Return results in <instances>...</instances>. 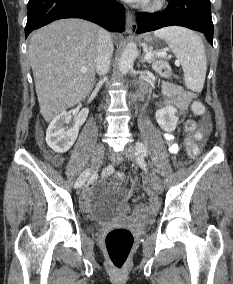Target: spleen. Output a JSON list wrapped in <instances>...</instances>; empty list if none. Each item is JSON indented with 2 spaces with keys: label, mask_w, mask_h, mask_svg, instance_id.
I'll use <instances>...</instances> for the list:
<instances>
[{
  "label": "spleen",
  "mask_w": 233,
  "mask_h": 284,
  "mask_svg": "<svg viewBox=\"0 0 233 284\" xmlns=\"http://www.w3.org/2000/svg\"><path fill=\"white\" fill-rule=\"evenodd\" d=\"M154 35L164 40L181 62L187 88L201 92L205 82L207 60L200 36L190 29L179 26L159 29Z\"/></svg>",
  "instance_id": "spleen-1"
}]
</instances>
